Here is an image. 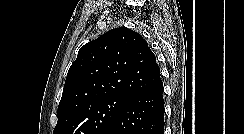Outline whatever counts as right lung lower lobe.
<instances>
[{"instance_id": "obj_1", "label": "right lung lower lobe", "mask_w": 244, "mask_h": 134, "mask_svg": "<svg viewBox=\"0 0 244 134\" xmlns=\"http://www.w3.org/2000/svg\"><path fill=\"white\" fill-rule=\"evenodd\" d=\"M101 134H164L163 83L130 97Z\"/></svg>"}]
</instances>
